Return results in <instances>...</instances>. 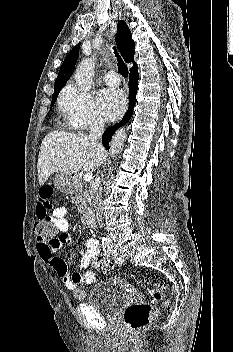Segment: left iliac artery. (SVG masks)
I'll return each instance as SVG.
<instances>
[{"mask_svg":"<svg viewBox=\"0 0 233 352\" xmlns=\"http://www.w3.org/2000/svg\"><path fill=\"white\" fill-rule=\"evenodd\" d=\"M110 253L112 254V256H113V258H114L116 263L122 264L124 262L122 257L118 254L116 248L112 247Z\"/></svg>","mask_w":233,"mask_h":352,"instance_id":"44dca946","label":"left iliac artery"}]
</instances>
